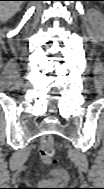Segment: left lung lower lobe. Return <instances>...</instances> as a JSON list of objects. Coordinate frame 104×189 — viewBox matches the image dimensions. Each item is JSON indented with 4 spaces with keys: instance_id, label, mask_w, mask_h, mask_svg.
Segmentation results:
<instances>
[{
    "instance_id": "left-lung-lower-lobe-1",
    "label": "left lung lower lobe",
    "mask_w": 104,
    "mask_h": 189,
    "mask_svg": "<svg viewBox=\"0 0 104 189\" xmlns=\"http://www.w3.org/2000/svg\"><path fill=\"white\" fill-rule=\"evenodd\" d=\"M84 1H103V0H84Z\"/></svg>"
}]
</instances>
